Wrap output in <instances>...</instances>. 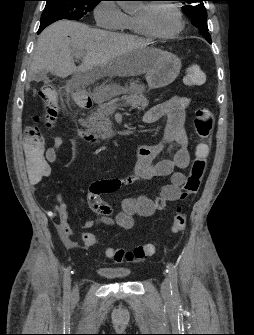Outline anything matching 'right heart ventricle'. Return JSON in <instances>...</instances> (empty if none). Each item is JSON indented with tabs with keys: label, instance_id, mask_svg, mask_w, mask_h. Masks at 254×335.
Listing matches in <instances>:
<instances>
[{
	"label": "right heart ventricle",
	"instance_id": "obj_1",
	"mask_svg": "<svg viewBox=\"0 0 254 335\" xmlns=\"http://www.w3.org/2000/svg\"><path fill=\"white\" fill-rule=\"evenodd\" d=\"M121 29L134 35H145L144 31L137 23L135 15H126L124 24Z\"/></svg>",
	"mask_w": 254,
	"mask_h": 335
}]
</instances>
